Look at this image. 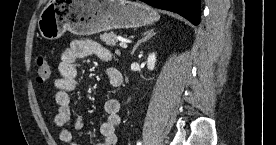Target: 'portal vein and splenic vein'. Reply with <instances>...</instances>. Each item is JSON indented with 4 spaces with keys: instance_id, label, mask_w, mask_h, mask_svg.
I'll return each mask as SVG.
<instances>
[{
    "instance_id": "obj_1",
    "label": "portal vein and splenic vein",
    "mask_w": 276,
    "mask_h": 145,
    "mask_svg": "<svg viewBox=\"0 0 276 145\" xmlns=\"http://www.w3.org/2000/svg\"><path fill=\"white\" fill-rule=\"evenodd\" d=\"M119 45H120L121 48H127L128 47L127 43L124 42V41H121Z\"/></svg>"
}]
</instances>
